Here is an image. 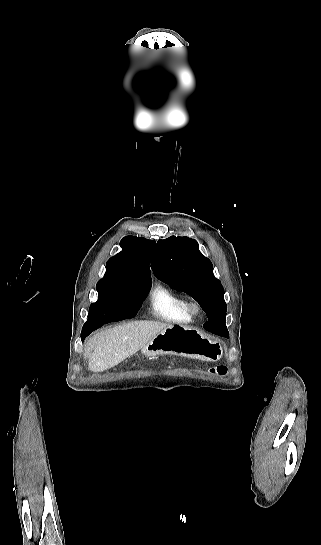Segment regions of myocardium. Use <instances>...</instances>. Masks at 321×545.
Instances as JSON below:
<instances>
[{
    "mask_svg": "<svg viewBox=\"0 0 321 545\" xmlns=\"http://www.w3.org/2000/svg\"><path fill=\"white\" fill-rule=\"evenodd\" d=\"M190 311L193 316L198 315L201 311V307L197 302L190 303Z\"/></svg>",
    "mask_w": 321,
    "mask_h": 545,
    "instance_id": "myocardium-1",
    "label": "myocardium"
}]
</instances>
